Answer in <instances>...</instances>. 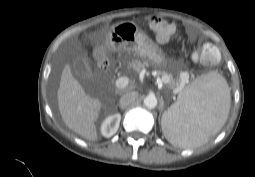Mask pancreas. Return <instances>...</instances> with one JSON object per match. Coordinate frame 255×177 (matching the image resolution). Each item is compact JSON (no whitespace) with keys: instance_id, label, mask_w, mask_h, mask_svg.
I'll list each match as a JSON object with an SVG mask.
<instances>
[{"instance_id":"pancreas-1","label":"pancreas","mask_w":255,"mask_h":177,"mask_svg":"<svg viewBox=\"0 0 255 177\" xmlns=\"http://www.w3.org/2000/svg\"><path fill=\"white\" fill-rule=\"evenodd\" d=\"M145 66H149L148 61L141 62L140 60H135L130 63V67H132L136 72L141 71ZM159 75L162 77V82L167 84L168 88L172 90H175L181 83L180 79H174L172 75L167 74L164 71L160 72Z\"/></svg>"}]
</instances>
